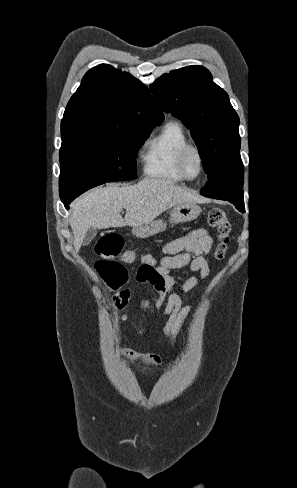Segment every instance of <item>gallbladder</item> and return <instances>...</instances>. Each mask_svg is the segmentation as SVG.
Masks as SVG:
<instances>
[{
  "label": "gallbladder",
  "instance_id": "obj_1",
  "mask_svg": "<svg viewBox=\"0 0 297 488\" xmlns=\"http://www.w3.org/2000/svg\"><path fill=\"white\" fill-rule=\"evenodd\" d=\"M96 234H97V230L95 228H90L85 235V238L83 240V245H88L94 239Z\"/></svg>",
  "mask_w": 297,
  "mask_h": 488
}]
</instances>
